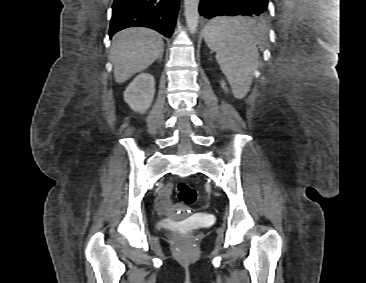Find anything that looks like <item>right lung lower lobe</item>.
I'll use <instances>...</instances> for the list:
<instances>
[{"mask_svg":"<svg viewBox=\"0 0 366 283\" xmlns=\"http://www.w3.org/2000/svg\"><path fill=\"white\" fill-rule=\"evenodd\" d=\"M178 8L179 0H114L109 36L128 27L144 26L170 38Z\"/></svg>","mask_w":366,"mask_h":283,"instance_id":"1","label":"right lung lower lobe"}]
</instances>
